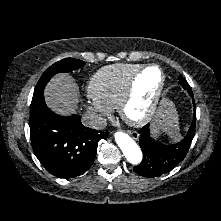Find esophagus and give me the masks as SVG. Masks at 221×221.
Returning a JSON list of instances; mask_svg holds the SVG:
<instances>
[{
    "label": "esophagus",
    "instance_id": "obj_1",
    "mask_svg": "<svg viewBox=\"0 0 221 221\" xmlns=\"http://www.w3.org/2000/svg\"><path fill=\"white\" fill-rule=\"evenodd\" d=\"M128 133L133 139L138 140L139 134L137 132L128 131Z\"/></svg>",
    "mask_w": 221,
    "mask_h": 221
}]
</instances>
